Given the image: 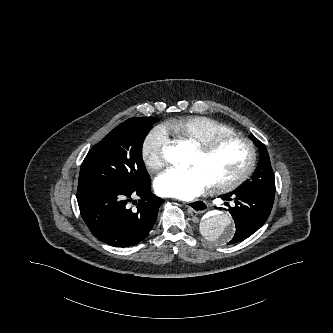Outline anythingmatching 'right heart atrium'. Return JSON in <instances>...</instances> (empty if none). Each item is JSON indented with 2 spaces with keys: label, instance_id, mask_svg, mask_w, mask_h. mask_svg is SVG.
<instances>
[{
  "label": "right heart atrium",
  "instance_id": "1",
  "mask_svg": "<svg viewBox=\"0 0 333 333\" xmlns=\"http://www.w3.org/2000/svg\"><path fill=\"white\" fill-rule=\"evenodd\" d=\"M167 143V132L163 127H156L146 135L141 145V159L147 169L157 171L165 165Z\"/></svg>",
  "mask_w": 333,
  "mask_h": 333
}]
</instances>
